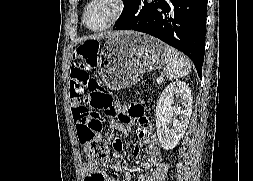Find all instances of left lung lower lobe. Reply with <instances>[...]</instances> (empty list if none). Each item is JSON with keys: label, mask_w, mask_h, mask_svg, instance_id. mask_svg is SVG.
<instances>
[{"label": "left lung lower lobe", "mask_w": 253, "mask_h": 181, "mask_svg": "<svg viewBox=\"0 0 253 181\" xmlns=\"http://www.w3.org/2000/svg\"><path fill=\"white\" fill-rule=\"evenodd\" d=\"M206 8L207 0H137L115 29L147 33L184 52L201 78Z\"/></svg>", "instance_id": "1"}]
</instances>
